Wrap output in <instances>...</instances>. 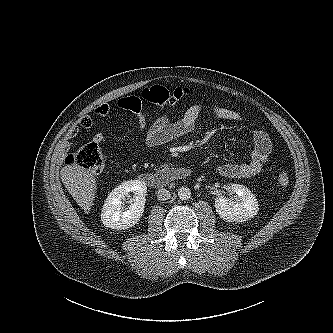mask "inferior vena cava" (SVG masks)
<instances>
[{"mask_svg": "<svg viewBox=\"0 0 333 333\" xmlns=\"http://www.w3.org/2000/svg\"><path fill=\"white\" fill-rule=\"evenodd\" d=\"M156 194L159 201H165L171 197L170 192L165 188L159 189Z\"/></svg>", "mask_w": 333, "mask_h": 333, "instance_id": "inferior-vena-cava-1", "label": "inferior vena cava"}]
</instances>
